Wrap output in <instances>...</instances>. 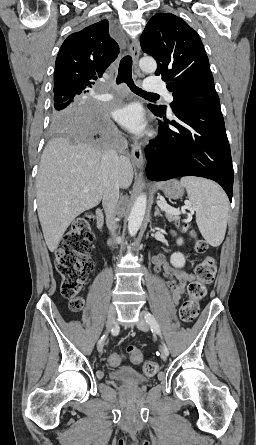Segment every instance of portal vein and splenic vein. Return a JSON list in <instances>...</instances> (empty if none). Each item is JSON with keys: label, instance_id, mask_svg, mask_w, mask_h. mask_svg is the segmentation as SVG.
I'll return each instance as SVG.
<instances>
[{"label": "portal vein and splenic vein", "instance_id": "obj_1", "mask_svg": "<svg viewBox=\"0 0 256 445\" xmlns=\"http://www.w3.org/2000/svg\"><path fill=\"white\" fill-rule=\"evenodd\" d=\"M83 192H88V189L85 188L83 190ZM157 204L165 212H168V213L173 214V215L181 214V211L179 209H176V208H173V207L169 206L166 202L158 201ZM184 207L189 209L191 212H193L195 210V208H193L188 202H185V206Z\"/></svg>", "mask_w": 256, "mask_h": 445}]
</instances>
